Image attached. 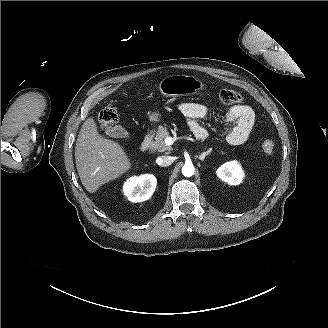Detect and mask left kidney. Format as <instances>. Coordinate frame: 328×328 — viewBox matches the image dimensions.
Wrapping results in <instances>:
<instances>
[{"instance_id": "5707ae66", "label": "left kidney", "mask_w": 328, "mask_h": 328, "mask_svg": "<svg viewBox=\"0 0 328 328\" xmlns=\"http://www.w3.org/2000/svg\"><path fill=\"white\" fill-rule=\"evenodd\" d=\"M216 175L229 185H239L245 177L244 171L237 161L224 163L217 169Z\"/></svg>"}]
</instances>
